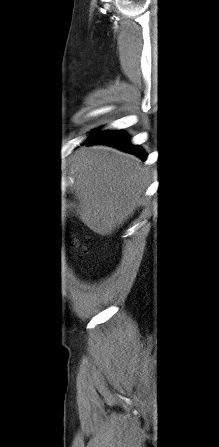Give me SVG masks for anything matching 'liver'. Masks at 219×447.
<instances>
[{
	"mask_svg": "<svg viewBox=\"0 0 219 447\" xmlns=\"http://www.w3.org/2000/svg\"><path fill=\"white\" fill-rule=\"evenodd\" d=\"M77 214L93 232L111 235L144 198L150 170L134 155L115 148L82 147L74 157Z\"/></svg>",
	"mask_w": 219,
	"mask_h": 447,
	"instance_id": "6515ba94",
	"label": "liver"
}]
</instances>
